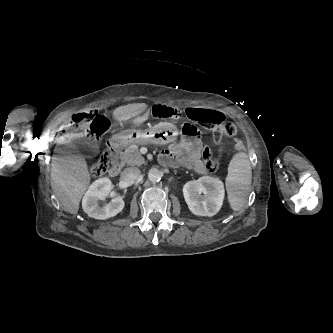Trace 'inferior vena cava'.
<instances>
[{"mask_svg":"<svg viewBox=\"0 0 333 333\" xmlns=\"http://www.w3.org/2000/svg\"><path fill=\"white\" fill-rule=\"evenodd\" d=\"M141 171L136 167L126 168L122 173V180L126 184L134 183L140 177Z\"/></svg>","mask_w":333,"mask_h":333,"instance_id":"1","label":"inferior vena cava"}]
</instances>
